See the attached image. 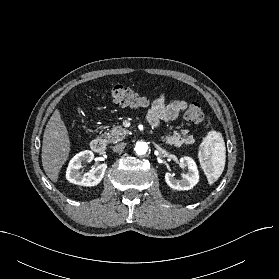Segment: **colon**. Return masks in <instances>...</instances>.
<instances>
[{"label":"colon","mask_w":279,"mask_h":279,"mask_svg":"<svg viewBox=\"0 0 279 279\" xmlns=\"http://www.w3.org/2000/svg\"><path fill=\"white\" fill-rule=\"evenodd\" d=\"M108 94L114 102L125 106L144 107L149 103L147 97L140 95L132 89L122 85H116L112 87ZM184 118L192 123H201L204 120V113L201 105L198 103L190 104L184 114Z\"/></svg>","instance_id":"1"}]
</instances>
